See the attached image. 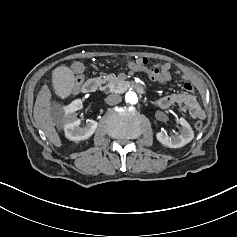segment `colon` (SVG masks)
Segmentation results:
<instances>
[{"label": "colon", "instance_id": "obj_1", "mask_svg": "<svg viewBox=\"0 0 237 237\" xmlns=\"http://www.w3.org/2000/svg\"><path fill=\"white\" fill-rule=\"evenodd\" d=\"M136 64L138 66H140L141 68H143V72L146 74V76L152 80V81H163V78L161 76V73H160V69L158 66H149V62L146 58H143V59H139ZM72 71L74 72V74L76 75H82L85 71V65L80 62V61H77V62H74L72 64ZM204 127V123L199 120L195 123V128L197 130H202Z\"/></svg>", "mask_w": 237, "mask_h": 237}]
</instances>
